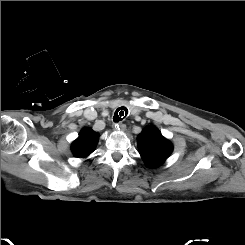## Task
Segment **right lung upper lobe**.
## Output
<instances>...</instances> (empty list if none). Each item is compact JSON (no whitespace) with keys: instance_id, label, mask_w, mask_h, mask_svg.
Returning a JSON list of instances; mask_svg holds the SVG:
<instances>
[{"instance_id":"obj_1","label":"right lung upper lobe","mask_w":245,"mask_h":245,"mask_svg":"<svg viewBox=\"0 0 245 245\" xmlns=\"http://www.w3.org/2000/svg\"><path fill=\"white\" fill-rule=\"evenodd\" d=\"M99 135L91 129H83L72 143L71 149L76 157H87L96 147Z\"/></svg>"}]
</instances>
